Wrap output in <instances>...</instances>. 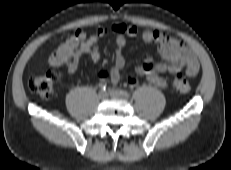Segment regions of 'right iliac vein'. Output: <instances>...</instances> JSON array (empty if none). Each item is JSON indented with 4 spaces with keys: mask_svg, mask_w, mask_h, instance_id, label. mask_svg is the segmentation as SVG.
<instances>
[{
    "mask_svg": "<svg viewBox=\"0 0 231 170\" xmlns=\"http://www.w3.org/2000/svg\"><path fill=\"white\" fill-rule=\"evenodd\" d=\"M98 97H99L100 99H105V98L107 97V94H106L105 92H100V93L98 94Z\"/></svg>",
    "mask_w": 231,
    "mask_h": 170,
    "instance_id": "63e3f726",
    "label": "right iliac vein"
}]
</instances>
